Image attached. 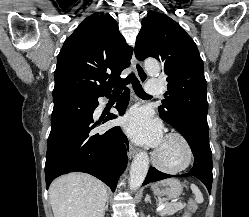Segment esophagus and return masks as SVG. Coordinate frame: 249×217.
Masks as SVG:
<instances>
[{"mask_svg": "<svg viewBox=\"0 0 249 217\" xmlns=\"http://www.w3.org/2000/svg\"><path fill=\"white\" fill-rule=\"evenodd\" d=\"M132 64L135 69L136 75L141 82H145L148 78L145 69L143 68L142 64L137 60L135 54L133 53L132 56ZM133 101L137 102L138 99L136 96L133 97ZM138 152V149L133 146L131 143L129 144V157L132 158Z\"/></svg>", "mask_w": 249, "mask_h": 217, "instance_id": "1", "label": "esophagus"}]
</instances>
